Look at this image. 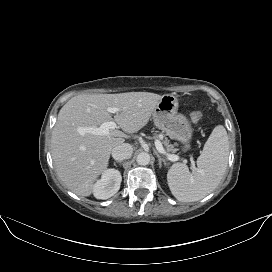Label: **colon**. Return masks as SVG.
<instances>
[{
  "mask_svg": "<svg viewBox=\"0 0 272 272\" xmlns=\"http://www.w3.org/2000/svg\"><path fill=\"white\" fill-rule=\"evenodd\" d=\"M190 118L193 123H199L203 119V114L199 111L192 112Z\"/></svg>",
  "mask_w": 272,
  "mask_h": 272,
  "instance_id": "5ec220e1",
  "label": "colon"
}]
</instances>
